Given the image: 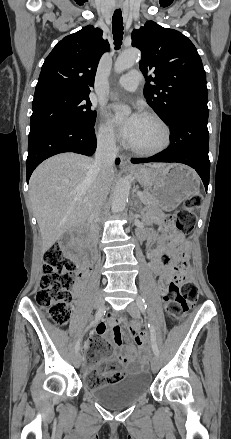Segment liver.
Returning a JSON list of instances; mask_svg holds the SVG:
<instances>
[{
    "instance_id": "6515ba94",
    "label": "liver",
    "mask_w": 231,
    "mask_h": 439,
    "mask_svg": "<svg viewBox=\"0 0 231 439\" xmlns=\"http://www.w3.org/2000/svg\"><path fill=\"white\" fill-rule=\"evenodd\" d=\"M94 159L62 153L41 163L29 181L31 204L40 228L42 252L67 231L84 223L91 214L98 189ZM166 164H149L160 168ZM115 171L109 176L113 183Z\"/></svg>"
}]
</instances>
